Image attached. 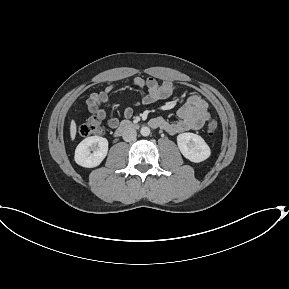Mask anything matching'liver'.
Wrapping results in <instances>:
<instances>
[{
    "label": "liver",
    "instance_id": "liver-1",
    "mask_svg": "<svg viewBox=\"0 0 289 289\" xmlns=\"http://www.w3.org/2000/svg\"><path fill=\"white\" fill-rule=\"evenodd\" d=\"M76 132H77V127H76V123L74 120L71 121L70 123V137L71 140L73 141L76 137Z\"/></svg>",
    "mask_w": 289,
    "mask_h": 289
}]
</instances>
